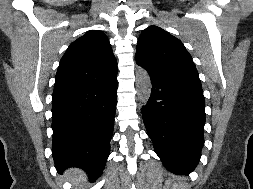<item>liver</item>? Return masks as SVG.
Returning <instances> with one entry per match:
<instances>
[{"label":"liver","mask_w":253,"mask_h":189,"mask_svg":"<svg viewBox=\"0 0 253 189\" xmlns=\"http://www.w3.org/2000/svg\"><path fill=\"white\" fill-rule=\"evenodd\" d=\"M67 175L69 179H71L75 183H79L83 179V174L78 169H72V170L67 171Z\"/></svg>","instance_id":"6515ba94"}]
</instances>
